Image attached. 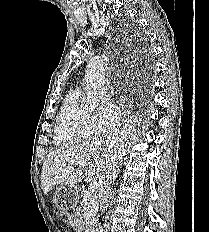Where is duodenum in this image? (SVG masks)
Segmentation results:
<instances>
[{
  "mask_svg": "<svg viewBox=\"0 0 209 232\" xmlns=\"http://www.w3.org/2000/svg\"><path fill=\"white\" fill-rule=\"evenodd\" d=\"M89 232H95L93 228H90L89 229Z\"/></svg>",
  "mask_w": 209,
  "mask_h": 232,
  "instance_id": "1",
  "label": "duodenum"
}]
</instances>
